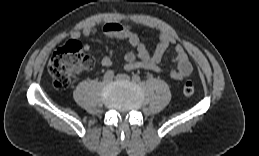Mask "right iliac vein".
Segmentation results:
<instances>
[{"instance_id":"63e3f726","label":"right iliac vein","mask_w":259,"mask_h":156,"mask_svg":"<svg viewBox=\"0 0 259 156\" xmlns=\"http://www.w3.org/2000/svg\"><path fill=\"white\" fill-rule=\"evenodd\" d=\"M110 81H111L110 79H104V80H103V84H104V85H107L108 83H110Z\"/></svg>"}]
</instances>
